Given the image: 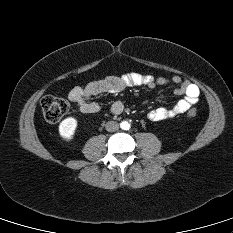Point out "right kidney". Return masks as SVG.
<instances>
[{"instance_id": "ca27d5eb", "label": "right kidney", "mask_w": 233, "mask_h": 233, "mask_svg": "<svg viewBox=\"0 0 233 233\" xmlns=\"http://www.w3.org/2000/svg\"><path fill=\"white\" fill-rule=\"evenodd\" d=\"M77 128V120L73 117L64 119L59 125V134L66 141L73 139Z\"/></svg>"}]
</instances>
